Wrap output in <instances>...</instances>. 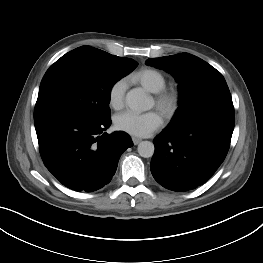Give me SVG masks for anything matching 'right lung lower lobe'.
Wrapping results in <instances>:
<instances>
[{
	"label": "right lung lower lobe",
	"mask_w": 263,
	"mask_h": 263,
	"mask_svg": "<svg viewBox=\"0 0 263 263\" xmlns=\"http://www.w3.org/2000/svg\"><path fill=\"white\" fill-rule=\"evenodd\" d=\"M40 154L47 169L64 186L92 192L108 184L122 153L133 146L130 136L107 134L111 119L56 114L35 120Z\"/></svg>",
	"instance_id": "98d812e1"
}]
</instances>
